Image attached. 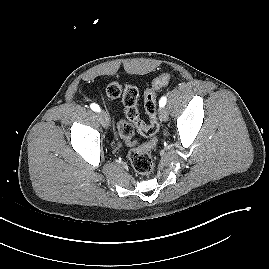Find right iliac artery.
Returning a JSON list of instances; mask_svg holds the SVG:
<instances>
[{
  "mask_svg": "<svg viewBox=\"0 0 269 269\" xmlns=\"http://www.w3.org/2000/svg\"><path fill=\"white\" fill-rule=\"evenodd\" d=\"M90 107L95 112H99L100 111V107L97 104H95V103L91 104Z\"/></svg>",
  "mask_w": 269,
  "mask_h": 269,
  "instance_id": "right-iliac-artery-1",
  "label": "right iliac artery"
}]
</instances>
